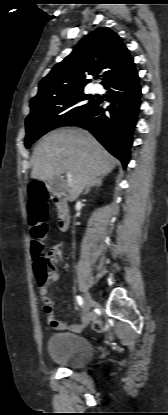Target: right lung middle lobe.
<instances>
[{
    "label": "right lung middle lobe",
    "mask_w": 168,
    "mask_h": 415,
    "mask_svg": "<svg viewBox=\"0 0 168 415\" xmlns=\"http://www.w3.org/2000/svg\"><path fill=\"white\" fill-rule=\"evenodd\" d=\"M96 99L84 94L83 90L54 99L31 108L26 118L25 146L30 145L47 132L67 126L69 123L88 112Z\"/></svg>",
    "instance_id": "1"
}]
</instances>
